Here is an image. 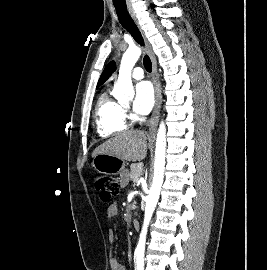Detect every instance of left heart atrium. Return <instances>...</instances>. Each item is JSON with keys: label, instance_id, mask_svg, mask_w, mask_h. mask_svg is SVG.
<instances>
[{"label": "left heart atrium", "instance_id": "39dd6f15", "mask_svg": "<svg viewBox=\"0 0 267 270\" xmlns=\"http://www.w3.org/2000/svg\"><path fill=\"white\" fill-rule=\"evenodd\" d=\"M155 93L149 81H141L136 85L133 109L140 115L148 114L154 106Z\"/></svg>", "mask_w": 267, "mask_h": 270}]
</instances>
